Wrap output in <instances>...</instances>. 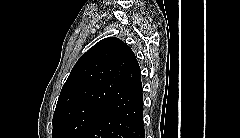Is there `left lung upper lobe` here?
<instances>
[{
	"mask_svg": "<svg viewBox=\"0 0 240 138\" xmlns=\"http://www.w3.org/2000/svg\"><path fill=\"white\" fill-rule=\"evenodd\" d=\"M135 61L131 48L113 37L85 52L62 87L52 120V138H85Z\"/></svg>",
	"mask_w": 240,
	"mask_h": 138,
	"instance_id": "5c2ea615",
	"label": "left lung upper lobe"
}]
</instances>
